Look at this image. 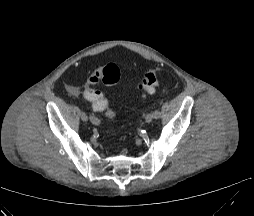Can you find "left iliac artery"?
<instances>
[{
    "label": "left iliac artery",
    "mask_w": 254,
    "mask_h": 216,
    "mask_svg": "<svg viewBox=\"0 0 254 216\" xmlns=\"http://www.w3.org/2000/svg\"><path fill=\"white\" fill-rule=\"evenodd\" d=\"M152 114L153 118L158 119L161 116V111L160 109H155Z\"/></svg>",
    "instance_id": "44dca946"
}]
</instances>
